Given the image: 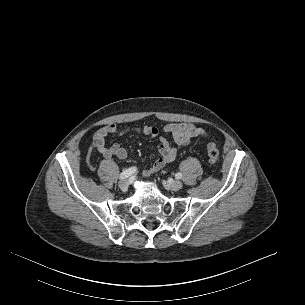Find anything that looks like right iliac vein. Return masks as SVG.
<instances>
[{"label": "right iliac vein", "instance_id": "right-iliac-vein-1", "mask_svg": "<svg viewBox=\"0 0 305 305\" xmlns=\"http://www.w3.org/2000/svg\"><path fill=\"white\" fill-rule=\"evenodd\" d=\"M118 186L122 191H126L129 186V180L123 179V180L119 181Z\"/></svg>", "mask_w": 305, "mask_h": 305}]
</instances>
